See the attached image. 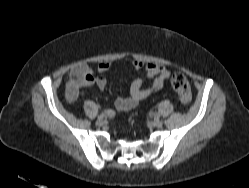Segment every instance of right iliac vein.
Listing matches in <instances>:
<instances>
[{
    "label": "right iliac vein",
    "instance_id": "right-iliac-vein-1",
    "mask_svg": "<svg viewBox=\"0 0 249 188\" xmlns=\"http://www.w3.org/2000/svg\"><path fill=\"white\" fill-rule=\"evenodd\" d=\"M96 124H97L98 126H103V125L105 124V121H104L103 119H98V120L96 121Z\"/></svg>",
    "mask_w": 249,
    "mask_h": 188
}]
</instances>
